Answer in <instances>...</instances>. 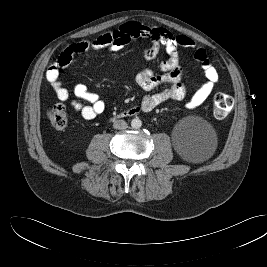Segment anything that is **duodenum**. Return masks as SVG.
I'll return each instance as SVG.
<instances>
[{"instance_id":"duodenum-1","label":"duodenum","mask_w":267,"mask_h":267,"mask_svg":"<svg viewBox=\"0 0 267 267\" xmlns=\"http://www.w3.org/2000/svg\"><path fill=\"white\" fill-rule=\"evenodd\" d=\"M140 111L139 107H131L123 112H121V115L123 116H133L136 115Z\"/></svg>"}]
</instances>
